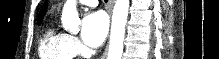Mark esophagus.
I'll return each instance as SVG.
<instances>
[{"label":"esophagus","mask_w":219,"mask_h":59,"mask_svg":"<svg viewBox=\"0 0 219 59\" xmlns=\"http://www.w3.org/2000/svg\"><path fill=\"white\" fill-rule=\"evenodd\" d=\"M114 0H109V4H108V13L111 16L112 13V6H113ZM107 51H108V47L105 49L104 54L102 55L101 59H105L107 56Z\"/></svg>","instance_id":"obj_1"}]
</instances>
